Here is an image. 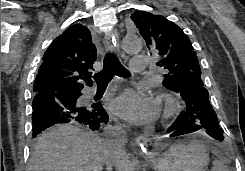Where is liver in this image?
Listing matches in <instances>:
<instances>
[{
  "mask_svg": "<svg viewBox=\"0 0 245 171\" xmlns=\"http://www.w3.org/2000/svg\"><path fill=\"white\" fill-rule=\"evenodd\" d=\"M108 142L93 132L70 124L48 129L38 139L29 161V171H102L107 163L117 171H134L135 165L126 154L113 158Z\"/></svg>",
  "mask_w": 245,
  "mask_h": 171,
  "instance_id": "obj_1",
  "label": "liver"
}]
</instances>
